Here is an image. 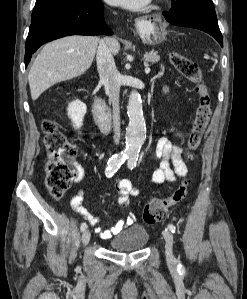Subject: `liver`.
Here are the masks:
<instances>
[{"label":"liver","mask_w":247,"mask_h":299,"mask_svg":"<svg viewBox=\"0 0 247 299\" xmlns=\"http://www.w3.org/2000/svg\"><path fill=\"white\" fill-rule=\"evenodd\" d=\"M114 55L120 44L115 38L105 41ZM99 43L96 36L73 35L46 44L29 71L28 82L32 100L56 83L73 79L91 66Z\"/></svg>","instance_id":"obj_1"}]
</instances>
